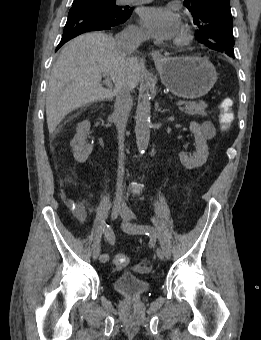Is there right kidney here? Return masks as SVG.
<instances>
[{"instance_id":"right-kidney-1","label":"right kidney","mask_w":261,"mask_h":340,"mask_svg":"<svg viewBox=\"0 0 261 340\" xmlns=\"http://www.w3.org/2000/svg\"><path fill=\"white\" fill-rule=\"evenodd\" d=\"M90 131V122L85 120L77 125L76 134L71 141L73 156L79 163H84L92 152V146L87 143Z\"/></svg>"}]
</instances>
